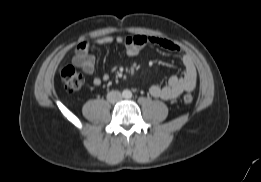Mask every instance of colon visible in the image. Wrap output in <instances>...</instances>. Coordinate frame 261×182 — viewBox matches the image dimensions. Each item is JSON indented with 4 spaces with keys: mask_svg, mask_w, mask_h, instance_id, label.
<instances>
[{
    "mask_svg": "<svg viewBox=\"0 0 261 182\" xmlns=\"http://www.w3.org/2000/svg\"><path fill=\"white\" fill-rule=\"evenodd\" d=\"M62 78L65 84V88L70 92L79 91L85 85V78L83 75L72 67H65L62 70ZM183 101L186 104H190L193 101V96L191 94H185L183 96Z\"/></svg>",
    "mask_w": 261,
    "mask_h": 182,
    "instance_id": "5ec220e1",
    "label": "colon"
}]
</instances>
